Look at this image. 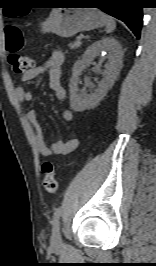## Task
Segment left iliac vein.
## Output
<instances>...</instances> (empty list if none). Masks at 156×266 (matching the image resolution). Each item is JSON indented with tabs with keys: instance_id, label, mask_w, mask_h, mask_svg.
I'll use <instances>...</instances> for the list:
<instances>
[{
	"instance_id": "1",
	"label": "left iliac vein",
	"mask_w": 156,
	"mask_h": 266,
	"mask_svg": "<svg viewBox=\"0 0 156 266\" xmlns=\"http://www.w3.org/2000/svg\"><path fill=\"white\" fill-rule=\"evenodd\" d=\"M51 244L55 247H59L62 244V237H61L59 222L55 223L53 226Z\"/></svg>"
}]
</instances>
